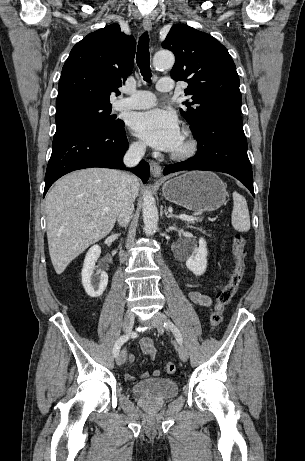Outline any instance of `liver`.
I'll return each mask as SVG.
<instances>
[{"label":"liver","instance_id":"liver-1","mask_svg":"<svg viewBox=\"0 0 305 461\" xmlns=\"http://www.w3.org/2000/svg\"><path fill=\"white\" fill-rule=\"evenodd\" d=\"M120 173L105 168L72 172L45 199L49 254L58 275L90 245L107 236L116 221ZM140 183L132 176L136 198Z\"/></svg>","mask_w":305,"mask_h":461}]
</instances>
